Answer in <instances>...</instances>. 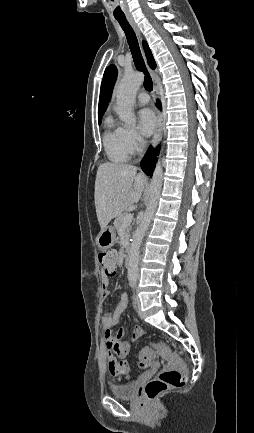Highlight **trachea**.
Wrapping results in <instances>:
<instances>
[{
  "instance_id": "obj_1",
  "label": "trachea",
  "mask_w": 254,
  "mask_h": 433,
  "mask_svg": "<svg viewBox=\"0 0 254 433\" xmlns=\"http://www.w3.org/2000/svg\"><path fill=\"white\" fill-rule=\"evenodd\" d=\"M116 20L119 22L120 26L125 32L135 67L139 71L143 72L145 75L144 78L145 89L148 91H152L153 88L152 79L146 69L134 30L132 29V27L130 26L126 18H116Z\"/></svg>"
}]
</instances>
